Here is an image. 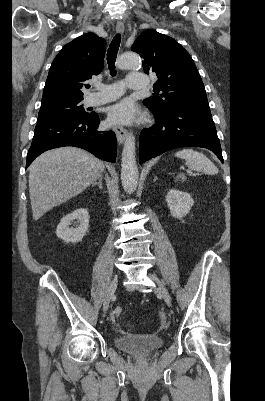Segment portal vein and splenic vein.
<instances>
[{
	"label": "portal vein and splenic vein",
	"mask_w": 265,
	"mask_h": 401,
	"mask_svg": "<svg viewBox=\"0 0 265 401\" xmlns=\"http://www.w3.org/2000/svg\"><path fill=\"white\" fill-rule=\"evenodd\" d=\"M187 172H191V170H187ZM191 174H192L193 176H196V175H199V172L193 171V172H191Z\"/></svg>",
	"instance_id": "portal-vein-and-splenic-vein-1"
}]
</instances>
